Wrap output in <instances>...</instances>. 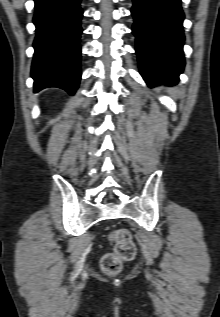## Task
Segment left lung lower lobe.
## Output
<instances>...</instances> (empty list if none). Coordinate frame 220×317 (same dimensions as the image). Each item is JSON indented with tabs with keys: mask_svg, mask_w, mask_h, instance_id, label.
Here are the masks:
<instances>
[{
	"mask_svg": "<svg viewBox=\"0 0 220 317\" xmlns=\"http://www.w3.org/2000/svg\"><path fill=\"white\" fill-rule=\"evenodd\" d=\"M133 33L142 77L149 86L175 84L185 65L181 0H133Z\"/></svg>",
	"mask_w": 220,
	"mask_h": 317,
	"instance_id": "0a47b994",
	"label": "left lung lower lobe"
}]
</instances>
